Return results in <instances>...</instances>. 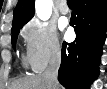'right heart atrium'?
<instances>
[{
    "label": "right heart atrium",
    "mask_w": 107,
    "mask_h": 89,
    "mask_svg": "<svg viewBox=\"0 0 107 89\" xmlns=\"http://www.w3.org/2000/svg\"><path fill=\"white\" fill-rule=\"evenodd\" d=\"M22 37L28 63L33 71L41 72L60 58L61 43L56 30L50 25L31 21L23 28Z\"/></svg>",
    "instance_id": "obj_1"
}]
</instances>
